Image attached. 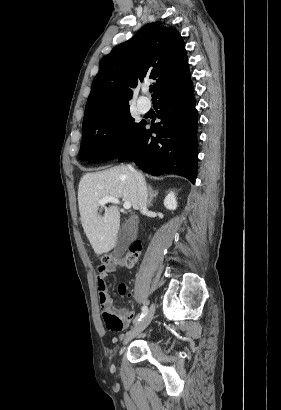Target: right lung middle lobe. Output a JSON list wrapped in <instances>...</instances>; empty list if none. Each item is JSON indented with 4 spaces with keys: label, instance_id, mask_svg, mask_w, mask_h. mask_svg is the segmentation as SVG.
I'll list each match as a JSON object with an SVG mask.
<instances>
[{
    "label": "right lung middle lobe",
    "instance_id": "right-lung-middle-lobe-1",
    "mask_svg": "<svg viewBox=\"0 0 281 410\" xmlns=\"http://www.w3.org/2000/svg\"><path fill=\"white\" fill-rule=\"evenodd\" d=\"M139 123L130 115L129 107L107 113L83 124L80 158L104 162L119 157L140 131Z\"/></svg>",
    "mask_w": 281,
    "mask_h": 410
}]
</instances>
